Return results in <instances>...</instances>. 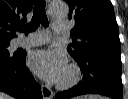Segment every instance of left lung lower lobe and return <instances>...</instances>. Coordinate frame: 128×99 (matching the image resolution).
I'll use <instances>...</instances> for the list:
<instances>
[{
    "mask_svg": "<svg viewBox=\"0 0 128 99\" xmlns=\"http://www.w3.org/2000/svg\"><path fill=\"white\" fill-rule=\"evenodd\" d=\"M83 73L82 81L73 88L58 93L57 99H68L82 94H101L123 99L120 49L98 47L76 60Z\"/></svg>",
    "mask_w": 128,
    "mask_h": 99,
    "instance_id": "1",
    "label": "left lung lower lobe"
}]
</instances>
